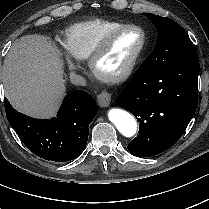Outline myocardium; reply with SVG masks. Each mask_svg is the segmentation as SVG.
<instances>
[{"label":"myocardium","instance_id":"f54148a6","mask_svg":"<svg viewBox=\"0 0 209 209\" xmlns=\"http://www.w3.org/2000/svg\"><path fill=\"white\" fill-rule=\"evenodd\" d=\"M128 30H136L141 33L142 41L137 51L133 54V56L128 61L126 66L120 71L116 73H111V74L100 71V69L98 68V64L102 60V58L105 56L109 47L111 46V43L114 37L117 34L124 32V31H128ZM147 41H148V36H147L146 31L138 25L122 24V25H118L112 28L110 31H108L105 34V36L102 38V40L99 42V44L96 46L95 50L89 57L88 64L91 69V72L98 80L106 82V83H118V82H122L126 80L136 70L139 64V61L142 58V55L146 48Z\"/></svg>","mask_w":209,"mask_h":209}]
</instances>
